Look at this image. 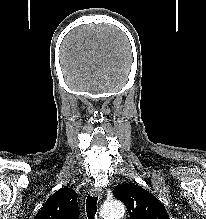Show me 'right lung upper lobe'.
<instances>
[{
  "label": "right lung upper lobe",
  "instance_id": "cb5924a9",
  "mask_svg": "<svg viewBox=\"0 0 206 219\" xmlns=\"http://www.w3.org/2000/svg\"><path fill=\"white\" fill-rule=\"evenodd\" d=\"M34 219H79L77 194L71 188L56 191Z\"/></svg>",
  "mask_w": 206,
  "mask_h": 219
}]
</instances>
